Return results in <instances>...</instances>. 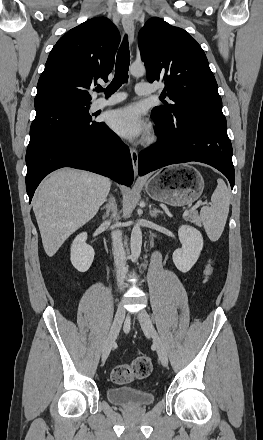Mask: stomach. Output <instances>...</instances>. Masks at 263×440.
Instances as JSON below:
<instances>
[{
  "instance_id": "0dacf381",
  "label": "stomach",
  "mask_w": 263,
  "mask_h": 440,
  "mask_svg": "<svg viewBox=\"0 0 263 440\" xmlns=\"http://www.w3.org/2000/svg\"><path fill=\"white\" fill-rule=\"evenodd\" d=\"M204 189L202 175L195 168L173 166L158 172L145 183L147 194L154 200L172 206H184L196 201Z\"/></svg>"
}]
</instances>
